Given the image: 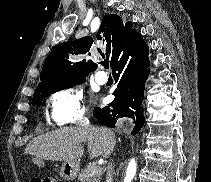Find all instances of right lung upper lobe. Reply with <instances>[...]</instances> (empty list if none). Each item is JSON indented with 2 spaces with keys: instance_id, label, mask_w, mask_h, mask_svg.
Wrapping results in <instances>:
<instances>
[{
  "instance_id": "1",
  "label": "right lung upper lobe",
  "mask_w": 211,
  "mask_h": 182,
  "mask_svg": "<svg viewBox=\"0 0 211 182\" xmlns=\"http://www.w3.org/2000/svg\"><path fill=\"white\" fill-rule=\"evenodd\" d=\"M136 34L131 22L124 25L121 17L116 14L104 16L96 37L97 40H103L106 55L111 58V67L115 63L118 51ZM93 46V38L90 36L56 46L44 62L41 82L34 95L49 87L68 84L88 76L97 68V64L86 59L76 61L75 57L85 55Z\"/></svg>"
}]
</instances>
